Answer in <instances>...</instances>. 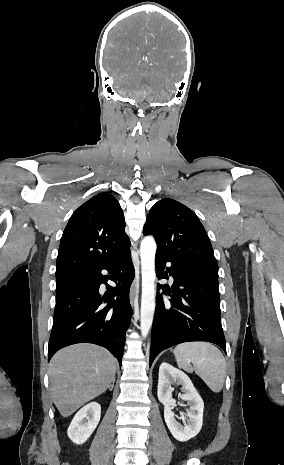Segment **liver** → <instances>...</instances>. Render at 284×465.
<instances>
[{"label": "liver", "instance_id": "1", "mask_svg": "<svg viewBox=\"0 0 284 465\" xmlns=\"http://www.w3.org/2000/svg\"><path fill=\"white\" fill-rule=\"evenodd\" d=\"M116 361L109 351L96 345H73L61 349L50 363L51 393L62 417L109 389Z\"/></svg>", "mask_w": 284, "mask_h": 465}]
</instances>
